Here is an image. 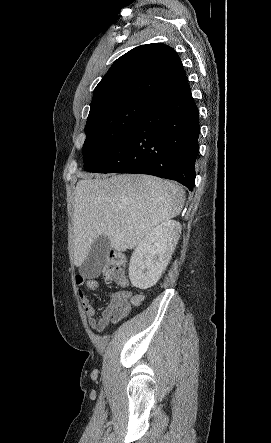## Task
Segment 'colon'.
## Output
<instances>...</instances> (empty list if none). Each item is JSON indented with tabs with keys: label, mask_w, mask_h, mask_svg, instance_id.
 <instances>
[{
	"label": "colon",
	"mask_w": 271,
	"mask_h": 443,
	"mask_svg": "<svg viewBox=\"0 0 271 443\" xmlns=\"http://www.w3.org/2000/svg\"><path fill=\"white\" fill-rule=\"evenodd\" d=\"M125 257L122 253L111 252L105 262L103 275L107 282L125 285L127 283L124 273Z\"/></svg>",
	"instance_id": "colon-1"
}]
</instances>
